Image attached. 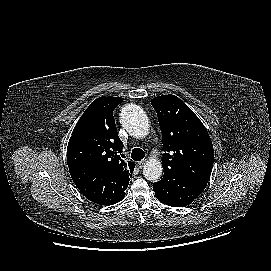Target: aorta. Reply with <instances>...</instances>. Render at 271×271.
<instances>
[{"label":"aorta","mask_w":271,"mask_h":271,"mask_svg":"<svg viewBox=\"0 0 271 271\" xmlns=\"http://www.w3.org/2000/svg\"><path fill=\"white\" fill-rule=\"evenodd\" d=\"M120 121L126 131L135 138H143L149 133V121L145 112L135 104H127L121 109ZM162 163L149 159L143 168V175L149 181H157L162 175Z\"/></svg>","instance_id":"1"}]
</instances>
